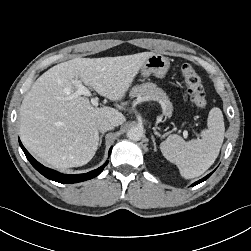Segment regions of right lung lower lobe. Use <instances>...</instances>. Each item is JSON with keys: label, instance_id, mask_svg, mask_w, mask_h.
<instances>
[{"label": "right lung lower lobe", "instance_id": "98d812e1", "mask_svg": "<svg viewBox=\"0 0 251 251\" xmlns=\"http://www.w3.org/2000/svg\"><path fill=\"white\" fill-rule=\"evenodd\" d=\"M19 144H20L23 152L25 153L27 159L30 161L32 166L38 172H40L46 178H48L50 180H53V181H56V182H59V183H77V182H82V181H85V180L92 179V178L96 177L97 175H99L102 172V170L104 169V167L108 163V161H107L103 166L97 168L96 170L85 173V174L66 175V174H62L60 172H57L55 170H52V169H49V168L43 166L42 164H40L38 161H36L29 154V152L24 148V146L22 145L20 140H19ZM111 150H112V147L109 150V155L111 153Z\"/></svg>", "mask_w": 251, "mask_h": 251}]
</instances>
